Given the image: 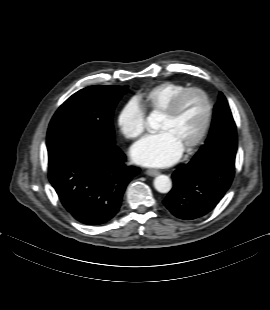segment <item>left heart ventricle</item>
Listing matches in <instances>:
<instances>
[{"instance_id":"obj_1","label":"left heart ventricle","mask_w":270,"mask_h":310,"mask_svg":"<svg viewBox=\"0 0 270 310\" xmlns=\"http://www.w3.org/2000/svg\"><path fill=\"white\" fill-rule=\"evenodd\" d=\"M206 113L205 102L198 93L184 97L178 113L172 119L161 115L157 131L168 133L184 150L200 133Z\"/></svg>"}]
</instances>
